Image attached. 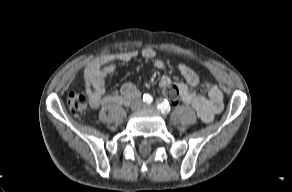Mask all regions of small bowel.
I'll return each mask as SVG.
<instances>
[{
    "mask_svg": "<svg viewBox=\"0 0 292 192\" xmlns=\"http://www.w3.org/2000/svg\"><path fill=\"white\" fill-rule=\"evenodd\" d=\"M147 60L154 59L156 52L147 47L141 52L130 51L107 58L103 62L91 63L85 70V81L88 88L89 102L91 107L98 108L107 104H128L131 99L138 95L137 88L132 83H125L119 89L108 93L106 91V80L116 67V62H128L138 56ZM154 66L158 69L165 67L163 60H155ZM185 82L172 84L169 77L161 79V88H172L178 97L186 104L191 105L197 112L199 119L204 123L213 121L215 115L223 109V94L220 88L210 82L205 83L207 95H202L197 91L199 77L197 73L185 64L178 67Z\"/></svg>",
    "mask_w": 292,
    "mask_h": 192,
    "instance_id": "1",
    "label": "small bowel"
}]
</instances>
